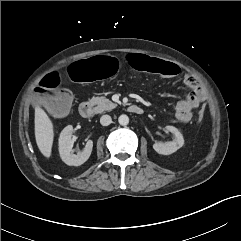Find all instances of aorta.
I'll use <instances>...</instances> for the list:
<instances>
[{
    "label": "aorta",
    "instance_id": "1",
    "mask_svg": "<svg viewBox=\"0 0 241 241\" xmlns=\"http://www.w3.org/2000/svg\"><path fill=\"white\" fill-rule=\"evenodd\" d=\"M118 122L122 126H126L129 123V117L127 115H120L118 118Z\"/></svg>",
    "mask_w": 241,
    "mask_h": 241
}]
</instances>
